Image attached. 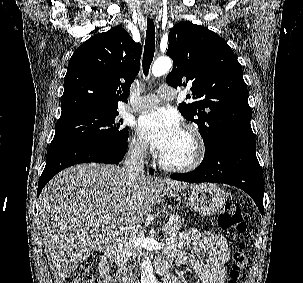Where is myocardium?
Returning a JSON list of instances; mask_svg holds the SVG:
<instances>
[{"label":"myocardium","mask_w":303,"mask_h":283,"mask_svg":"<svg viewBox=\"0 0 303 283\" xmlns=\"http://www.w3.org/2000/svg\"><path fill=\"white\" fill-rule=\"evenodd\" d=\"M182 131L189 136L194 145V153L192 158L182 164H174L168 162L163 154L159 156L160 166L168 171L177 172V173H186L195 170L198 168L204 160L206 153L205 141L203 139L200 131L193 125H185L182 128Z\"/></svg>","instance_id":"myocardium-1"}]
</instances>
